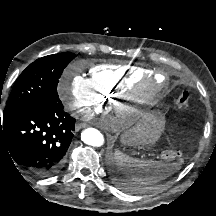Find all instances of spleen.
<instances>
[{
	"instance_id": "1",
	"label": "spleen",
	"mask_w": 216,
	"mask_h": 216,
	"mask_svg": "<svg viewBox=\"0 0 216 216\" xmlns=\"http://www.w3.org/2000/svg\"><path fill=\"white\" fill-rule=\"evenodd\" d=\"M115 162L122 172L138 186L145 187L174 173V167L161 161L132 158L119 150L115 151Z\"/></svg>"
}]
</instances>
